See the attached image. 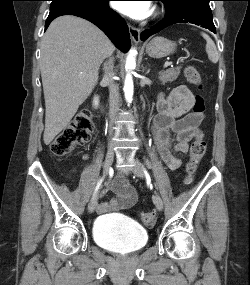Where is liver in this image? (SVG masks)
I'll use <instances>...</instances> for the list:
<instances>
[{"mask_svg": "<svg viewBox=\"0 0 250 285\" xmlns=\"http://www.w3.org/2000/svg\"><path fill=\"white\" fill-rule=\"evenodd\" d=\"M113 51L108 37L84 19L62 16L50 24L41 42L40 57L46 145L66 128L92 93L99 67Z\"/></svg>", "mask_w": 250, "mask_h": 285, "instance_id": "liver-1", "label": "liver"}]
</instances>
